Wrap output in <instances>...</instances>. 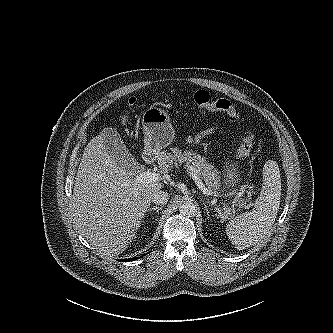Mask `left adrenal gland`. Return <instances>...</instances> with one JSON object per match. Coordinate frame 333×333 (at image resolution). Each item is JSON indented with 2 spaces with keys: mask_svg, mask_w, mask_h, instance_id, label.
Returning a JSON list of instances; mask_svg holds the SVG:
<instances>
[{
  "mask_svg": "<svg viewBox=\"0 0 333 333\" xmlns=\"http://www.w3.org/2000/svg\"><path fill=\"white\" fill-rule=\"evenodd\" d=\"M203 204H204V208H205V210H206V213H207V216H208V219L210 218V215H209V211H208V208H207V206H206V203L205 202H203Z\"/></svg>",
  "mask_w": 333,
  "mask_h": 333,
  "instance_id": "left-adrenal-gland-1",
  "label": "left adrenal gland"
}]
</instances>
